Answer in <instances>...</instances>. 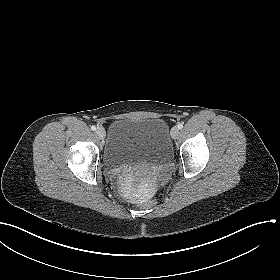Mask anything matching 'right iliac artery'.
I'll list each match as a JSON object with an SVG mask.
<instances>
[{"instance_id":"82829eb1","label":"right iliac artery","mask_w":280,"mask_h":280,"mask_svg":"<svg viewBox=\"0 0 280 280\" xmlns=\"http://www.w3.org/2000/svg\"><path fill=\"white\" fill-rule=\"evenodd\" d=\"M91 130L96 131V126H91Z\"/></svg>"}]
</instances>
